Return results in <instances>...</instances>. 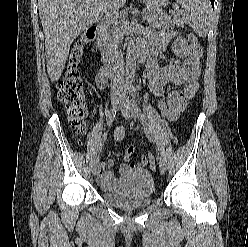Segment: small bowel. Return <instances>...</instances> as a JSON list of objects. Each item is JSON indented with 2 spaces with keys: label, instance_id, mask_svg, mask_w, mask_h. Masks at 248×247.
Here are the masks:
<instances>
[{
  "label": "small bowel",
  "instance_id": "obj_1",
  "mask_svg": "<svg viewBox=\"0 0 248 247\" xmlns=\"http://www.w3.org/2000/svg\"><path fill=\"white\" fill-rule=\"evenodd\" d=\"M174 37L173 31H163L152 35L144 46L149 53L147 71L149 87L156 98L163 95V88L166 85L181 87L180 90H172L167 95L169 104L168 119H175L185 108L187 102L196 94L199 88L198 78L200 75V58L202 50L199 44L188 43L183 37H177L172 45L174 53L183 59V64L173 63L161 65L159 58L162 51L168 46ZM107 83V73L102 70L96 76V85L103 89ZM123 128H117L114 132L116 140L122 139ZM139 153L134 147H129L124 155L126 163L120 165L121 177L117 180L113 175L114 161L109 159L107 163H101L98 173V181L104 188H118L122 182V177L131 170L142 169L147 166L148 159L139 153L135 161H131L133 154Z\"/></svg>",
  "mask_w": 248,
  "mask_h": 247
}]
</instances>
